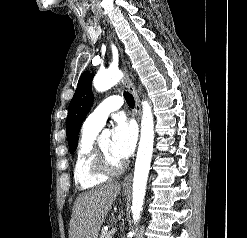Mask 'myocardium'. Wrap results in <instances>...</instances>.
I'll list each match as a JSON object with an SVG mask.
<instances>
[{
	"label": "myocardium",
	"mask_w": 247,
	"mask_h": 238,
	"mask_svg": "<svg viewBox=\"0 0 247 238\" xmlns=\"http://www.w3.org/2000/svg\"><path fill=\"white\" fill-rule=\"evenodd\" d=\"M125 166L126 163L123 161L118 164L112 163L101 149L100 144L95 143L92 167L97 174L107 177L116 176L122 173Z\"/></svg>",
	"instance_id": "1"
}]
</instances>
